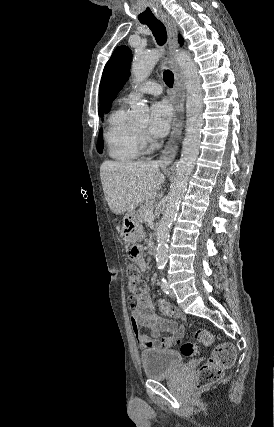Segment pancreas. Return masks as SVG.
Listing matches in <instances>:
<instances>
[{"mask_svg": "<svg viewBox=\"0 0 274 427\" xmlns=\"http://www.w3.org/2000/svg\"><path fill=\"white\" fill-rule=\"evenodd\" d=\"M155 204V200L153 198V200H148V202H143V204H141L139 210H137V219H139V221H146L145 219V214L146 212H150V210H153V208H155L154 206Z\"/></svg>", "mask_w": 274, "mask_h": 427, "instance_id": "cf45deb5", "label": "pancreas"}]
</instances>
